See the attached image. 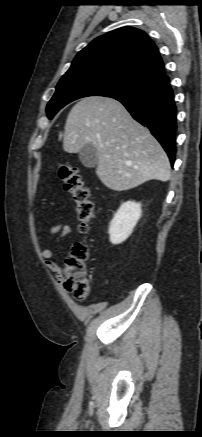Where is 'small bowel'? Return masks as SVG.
Returning <instances> with one entry per match:
<instances>
[{"label":"small bowel","instance_id":"small-bowel-1","mask_svg":"<svg viewBox=\"0 0 202 437\" xmlns=\"http://www.w3.org/2000/svg\"><path fill=\"white\" fill-rule=\"evenodd\" d=\"M73 228L67 224L66 222H60L54 224L49 230V237L55 238L57 243H60L61 240L72 234ZM42 257L45 260L46 267L52 272L56 273L58 278L60 279V268L57 262L54 260V252L51 249H44L41 252Z\"/></svg>","mask_w":202,"mask_h":437}]
</instances>
